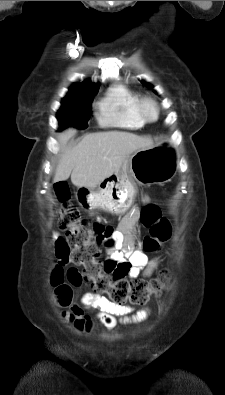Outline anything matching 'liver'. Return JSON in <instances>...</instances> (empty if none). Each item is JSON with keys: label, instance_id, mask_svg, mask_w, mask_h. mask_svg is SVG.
Returning a JSON list of instances; mask_svg holds the SVG:
<instances>
[{"label": "liver", "instance_id": "6515ba94", "mask_svg": "<svg viewBox=\"0 0 225 395\" xmlns=\"http://www.w3.org/2000/svg\"><path fill=\"white\" fill-rule=\"evenodd\" d=\"M75 133L70 128L58 137L63 153L53 182L65 181L71 175V182L79 188L94 189L107 177L118 174L129 155L154 145L150 137L109 131L88 134L75 147L66 148Z\"/></svg>", "mask_w": 225, "mask_h": 395}]
</instances>
